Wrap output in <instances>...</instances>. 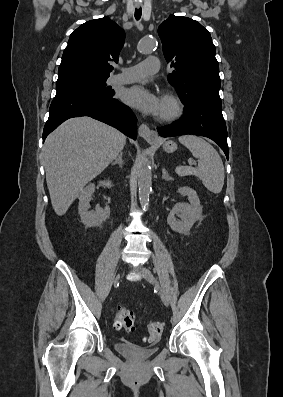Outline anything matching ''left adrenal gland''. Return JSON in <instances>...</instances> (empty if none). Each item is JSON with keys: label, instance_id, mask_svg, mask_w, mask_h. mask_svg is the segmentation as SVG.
<instances>
[{"label": "left adrenal gland", "instance_id": "obj_1", "mask_svg": "<svg viewBox=\"0 0 283 397\" xmlns=\"http://www.w3.org/2000/svg\"><path fill=\"white\" fill-rule=\"evenodd\" d=\"M162 179L166 181L173 180V178L168 174L166 168L162 169Z\"/></svg>", "mask_w": 283, "mask_h": 397}]
</instances>
